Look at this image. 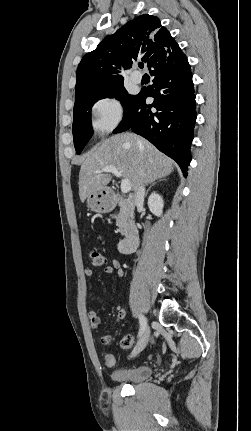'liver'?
<instances>
[{"mask_svg": "<svg viewBox=\"0 0 251 431\" xmlns=\"http://www.w3.org/2000/svg\"><path fill=\"white\" fill-rule=\"evenodd\" d=\"M107 166H115L130 180L136 191L141 184L168 176L174 169L173 161L146 139L133 133L111 136L88 152L79 173V197L84 202L94 191L104 189L111 181L108 173H96Z\"/></svg>", "mask_w": 251, "mask_h": 431, "instance_id": "liver-1", "label": "liver"}]
</instances>
